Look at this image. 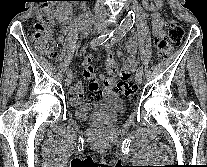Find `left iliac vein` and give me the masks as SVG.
I'll list each match as a JSON object with an SVG mask.
<instances>
[{"mask_svg": "<svg viewBox=\"0 0 207 167\" xmlns=\"http://www.w3.org/2000/svg\"><path fill=\"white\" fill-rule=\"evenodd\" d=\"M135 81L138 85H140L142 83V74L137 73V75L135 77Z\"/></svg>", "mask_w": 207, "mask_h": 167, "instance_id": "left-iliac-vein-1", "label": "left iliac vein"}]
</instances>
